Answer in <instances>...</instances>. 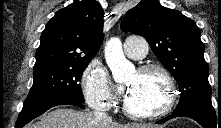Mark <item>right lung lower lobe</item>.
I'll return each mask as SVG.
<instances>
[{
    "label": "right lung lower lobe",
    "instance_id": "98d812e1",
    "mask_svg": "<svg viewBox=\"0 0 221 128\" xmlns=\"http://www.w3.org/2000/svg\"><path fill=\"white\" fill-rule=\"evenodd\" d=\"M76 105L80 108H84L82 102L77 100L66 98V97H53L34 104L23 106L22 111L19 114L18 120L16 122V128H22L24 125L29 123L35 117L43 114L49 108L57 105Z\"/></svg>",
    "mask_w": 221,
    "mask_h": 128
}]
</instances>
